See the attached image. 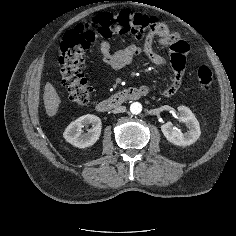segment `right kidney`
Wrapping results in <instances>:
<instances>
[{
	"label": "right kidney",
	"instance_id": "obj_1",
	"mask_svg": "<svg viewBox=\"0 0 236 236\" xmlns=\"http://www.w3.org/2000/svg\"><path fill=\"white\" fill-rule=\"evenodd\" d=\"M89 124L92 128L83 133L82 128ZM102 129L101 119L93 114H87L71 122L63 133L67 142L78 148H86L94 145L99 139Z\"/></svg>",
	"mask_w": 236,
	"mask_h": 236
}]
</instances>
